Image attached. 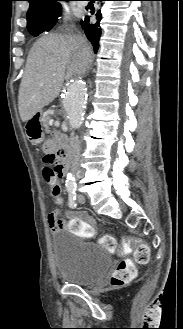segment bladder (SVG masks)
<instances>
[{
  "label": "bladder",
  "mask_w": 183,
  "mask_h": 329,
  "mask_svg": "<svg viewBox=\"0 0 183 329\" xmlns=\"http://www.w3.org/2000/svg\"><path fill=\"white\" fill-rule=\"evenodd\" d=\"M51 250L58 277L69 284L93 286L112 266L111 256L104 248L79 239L73 232L54 234Z\"/></svg>",
  "instance_id": "31cf9c89"
}]
</instances>
